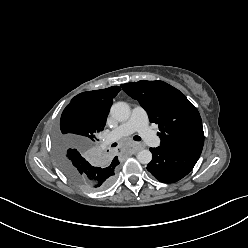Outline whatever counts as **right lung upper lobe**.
Segmentation results:
<instances>
[{"label":"right lung upper lobe","instance_id":"obj_1","mask_svg":"<svg viewBox=\"0 0 248 248\" xmlns=\"http://www.w3.org/2000/svg\"><path fill=\"white\" fill-rule=\"evenodd\" d=\"M120 90L119 86H112L102 90L83 92L75 96L71 104H82L87 113L104 129L113 98ZM111 164L117 166L119 164L118 157H115Z\"/></svg>","mask_w":248,"mask_h":248}]
</instances>
